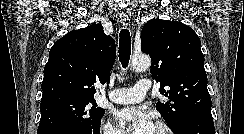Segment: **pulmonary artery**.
<instances>
[{"instance_id": "obj_1", "label": "pulmonary artery", "mask_w": 244, "mask_h": 134, "mask_svg": "<svg viewBox=\"0 0 244 134\" xmlns=\"http://www.w3.org/2000/svg\"><path fill=\"white\" fill-rule=\"evenodd\" d=\"M150 89V81L139 80L133 87L115 89L109 93V99L117 104H131L144 99Z\"/></svg>"}]
</instances>
